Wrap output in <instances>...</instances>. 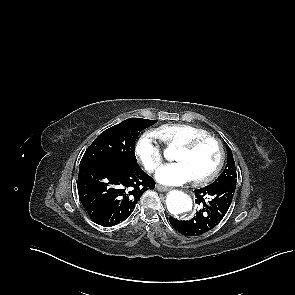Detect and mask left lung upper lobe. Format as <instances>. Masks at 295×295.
<instances>
[{
    "label": "left lung upper lobe",
    "instance_id": "5c2ea615",
    "mask_svg": "<svg viewBox=\"0 0 295 295\" xmlns=\"http://www.w3.org/2000/svg\"><path fill=\"white\" fill-rule=\"evenodd\" d=\"M227 165L221 175L212 184L234 183L236 184V169L233 154L231 149L227 146Z\"/></svg>",
    "mask_w": 295,
    "mask_h": 295
}]
</instances>
